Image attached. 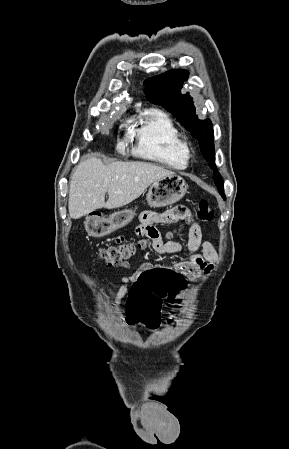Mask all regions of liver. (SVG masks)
Masks as SVG:
<instances>
[{
    "label": "liver",
    "instance_id": "6515ba94",
    "mask_svg": "<svg viewBox=\"0 0 289 449\" xmlns=\"http://www.w3.org/2000/svg\"><path fill=\"white\" fill-rule=\"evenodd\" d=\"M170 175L175 173L142 161H117L104 165L96 157L84 158L71 175L70 217L79 219L96 209L125 206L137 199L152 183Z\"/></svg>",
    "mask_w": 289,
    "mask_h": 449
}]
</instances>
